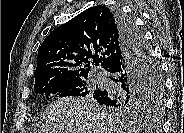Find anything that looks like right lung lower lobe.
<instances>
[{
    "label": "right lung lower lobe",
    "mask_w": 184,
    "mask_h": 133,
    "mask_svg": "<svg viewBox=\"0 0 184 133\" xmlns=\"http://www.w3.org/2000/svg\"><path fill=\"white\" fill-rule=\"evenodd\" d=\"M114 12L122 39L121 52L106 67L114 87L89 96L103 106H110L121 96L136 98L147 84L148 54L145 41L138 36L132 20L119 10Z\"/></svg>",
    "instance_id": "98d812e1"
}]
</instances>
